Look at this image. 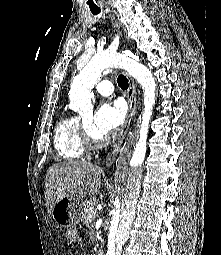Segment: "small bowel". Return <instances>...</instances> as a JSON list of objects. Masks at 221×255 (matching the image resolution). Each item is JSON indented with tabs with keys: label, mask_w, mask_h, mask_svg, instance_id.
Listing matches in <instances>:
<instances>
[{
	"label": "small bowel",
	"mask_w": 221,
	"mask_h": 255,
	"mask_svg": "<svg viewBox=\"0 0 221 255\" xmlns=\"http://www.w3.org/2000/svg\"><path fill=\"white\" fill-rule=\"evenodd\" d=\"M66 237L70 242H75L78 239L77 230L75 228L68 229Z\"/></svg>",
	"instance_id": "obj_1"
}]
</instances>
